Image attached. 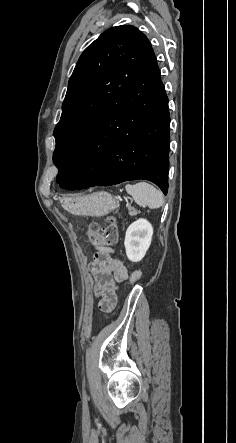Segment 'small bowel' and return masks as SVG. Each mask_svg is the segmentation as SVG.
<instances>
[{
    "instance_id": "small-bowel-1",
    "label": "small bowel",
    "mask_w": 236,
    "mask_h": 443,
    "mask_svg": "<svg viewBox=\"0 0 236 443\" xmlns=\"http://www.w3.org/2000/svg\"><path fill=\"white\" fill-rule=\"evenodd\" d=\"M112 250L99 247L90 264V271L96 277L95 293L100 297L99 307L104 312L114 309L117 302V283L128 278V270L117 258L111 256Z\"/></svg>"
}]
</instances>
